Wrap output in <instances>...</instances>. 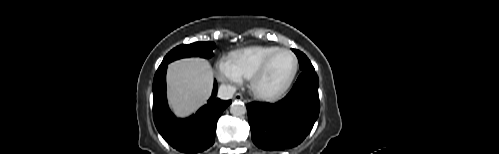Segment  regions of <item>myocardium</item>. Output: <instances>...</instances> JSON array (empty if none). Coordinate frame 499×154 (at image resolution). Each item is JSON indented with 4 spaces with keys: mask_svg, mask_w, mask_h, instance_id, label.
Wrapping results in <instances>:
<instances>
[{
    "mask_svg": "<svg viewBox=\"0 0 499 154\" xmlns=\"http://www.w3.org/2000/svg\"><path fill=\"white\" fill-rule=\"evenodd\" d=\"M281 53H287L291 56L293 60V67L291 72L289 73L288 77L286 80L274 91L271 92H264L259 88V82L261 79L264 77L266 74L270 64L274 60V58L281 54ZM298 71V60L295 54L288 49H278L272 54H270L260 65V67L252 74L250 77V89L251 92L256 96L257 98L264 100V101H273L281 97L290 87L292 84L296 74Z\"/></svg>",
    "mask_w": 499,
    "mask_h": 154,
    "instance_id": "myocardium-1",
    "label": "myocardium"
}]
</instances>
